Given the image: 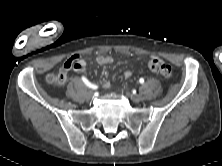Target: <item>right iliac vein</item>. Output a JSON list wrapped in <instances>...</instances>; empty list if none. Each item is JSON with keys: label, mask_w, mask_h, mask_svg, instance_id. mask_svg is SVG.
I'll use <instances>...</instances> for the list:
<instances>
[{"label": "right iliac vein", "mask_w": 222, "mask_h": 166, "mask_svg": "<svg viewBox=\"0 0 222 166\" xmlns=\"http://www.w3.org/2000/svg\"><path fill=\"white\" fill-rule=\"evenodd\" d=\"M93 92L92 91H88L87 93H86V99L87 100H92L93 99Z\"/></svg>", "instance_id": "1"}]
</instances>
